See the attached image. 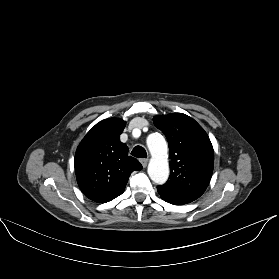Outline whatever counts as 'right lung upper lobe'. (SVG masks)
Listing matches in <instances>:
<instances>
[{
  "label": "right lung upper lobe",
  "instance_id": "cb5924a9",
  "mask_svg": "<svg viewBox=\"0 0 279 279\" xmlns=\"http://www.w3.org/2000/svg\"><path fill=\"white\" fill-rule=\"evenodd\" d=\"M126 122L109 118L96 124L80 142L75 154V173L81 191L90 200L105 203L123 193L133 171L141 163L128 155L120 141Z\"/></svg>",
  "mask_w": 279,
  "mask_h": 279
}]
</instances>
